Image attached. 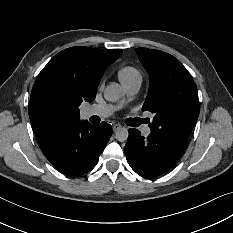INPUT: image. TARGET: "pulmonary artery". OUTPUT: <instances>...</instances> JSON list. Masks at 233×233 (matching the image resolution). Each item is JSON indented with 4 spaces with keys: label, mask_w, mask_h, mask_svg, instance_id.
<instances>
[{
    "label": "pulmonary artery",
    "mask_w": 233,
    "mask_h": 233,
    "mask_svg": "<svg viewBox=\"0 0 233 233\" xmlns=\"http://www.w3.org/2000/svg\"><path fill=\"white\" fill-rule=\"evenodd\" d=\"M126 93L129 96H133L135 95L139 88H140V84H134V85H123ZM116 109L115 106L112 105H98V106H93L90 107L87 110V116H92V115H96L99 117H108L109 115H111L113 113V111ZM142 133L145 136H148L151 134V129L148 126H144L142 128Z\"/></svg>",
    "instance_id": "1"
}]
</instances>
